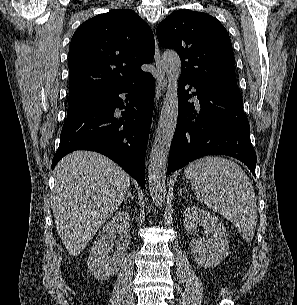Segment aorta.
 <instances>
[{
	"instance_id": "obj_1",
	"label": "aorta",
	"mask_w": 297,
	"mask_h": 305,
	"mask_svg": "<svg viewBox=\"0 0 297 305\" xmlns=\"http://www.w3.org/2000/svg\"><path fill=\"white\" fill-rule=\"evenodd\" d=\"M163 69L168 85L152 145L148 166V184L155 205H161L166 195V164L178 118V79L181 60L175 51L168 50L162 55Z\"/></svg>"
}]
</instances>
